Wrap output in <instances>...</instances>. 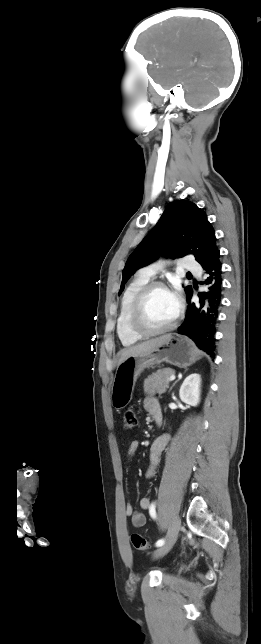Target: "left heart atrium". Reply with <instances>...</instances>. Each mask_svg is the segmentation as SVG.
Here are the masks:
<instances>
[{"label": "left heart atrium", "instance_id": "left-heart-atrium-1", "mask_svg": "<svg viewBox=\"0 0 261 644\" xmlns=\"http://www.w3.org/2000/svg\"><path fill=\"white\" fill-rule=\"evenodd\" d=\"M170 293H171V295H172V297H173V299L175 301V304H176L177 308L179 309L181 307V297H180L179 292L174 291V292H170Z\"/></svg>", "mask_w": 261, "mask_h": 644}]
</instances>
